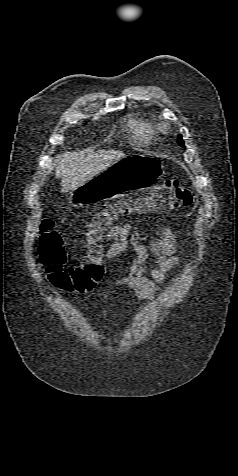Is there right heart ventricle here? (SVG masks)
<instances>
[{
	"label": "right heart ventricle",
	"mask_w": 238,
	"mask_h": 476,
	"mask_svg": "<svg viewBox=\"0 0 238 476\" xmlns=\"http://www.w3.org/2000/svg\"><path fill=\"white\" fill-rule=\"evenodd\" d=\"M127 127L135 141L141 145H149L154 139V128L152 124L141 117H130Z\"/></svg>",
	"instance_id": "right-heart-ventricle-1"
}]
</instances>
